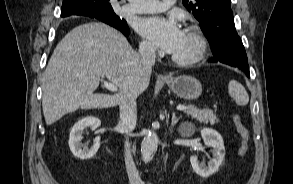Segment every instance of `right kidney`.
Here are the masks:
<instances>
[{
  "label": "right kidney",
  "mask_w": 293,
  "mask_h": 184,
  "mask_svg": "<svg viewBox=\"0 0 293 184\" xmlns=\"http://www.w3.org/2000/svg\"><path fill=\"white\" fill-rule=\"evenodd\" d=\"M101 122L98 118L89 116L78 121L70 131L69 147L72 154L80 160H88L92 158L100 147V137L95 138V144L91 149L84 147L81 143L82 134L87 128L95 130L100 126Z\"/></svg>",
  "instance_id": "obj_1"
}]
</instances>
